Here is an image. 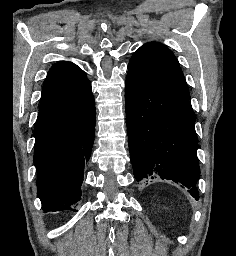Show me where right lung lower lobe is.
Returning a JSON list of instances; mask_svg holds the SVG:
<instances>
[{"label": "right lung lower lobe", "instance_id": "right-lung-lower-lobe-1", "mask_svg": "<svg viewBox=\"0 0 236 256\" xmlns=\"http://www.w3.org/2000/svg\"><path fill=\"white\" fill-rule=\"evenodd\" d=\"M94 132L95 101L89 80L39 111L34 129V164L45 212L73 210L71 206L80 200Z\"/></svg>", "mask_w": 236, "mask_h": 256}]
</instances>
